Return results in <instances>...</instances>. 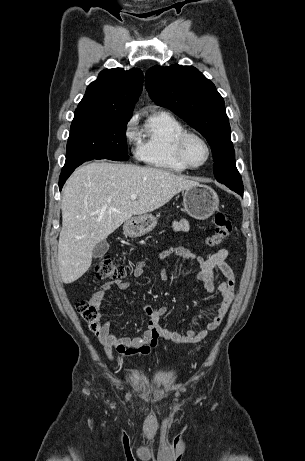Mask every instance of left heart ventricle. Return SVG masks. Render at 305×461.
<instances>
[{"instance_id":"1","label":"left heart ventricle","mask_w":305,"mask_h":461,"mask_svg":"<svg viewBox=\"0 0 305 461\" xmlns=\"http://www.w3.org/2000/svg\"><path fill=\"white\" fill-rule=\"evenodd\" d=\"M186 154L190 162L197 165L205 160L207 151L201 141L196 138H190L186 144Z\"/></svg>"}]
</instances>
